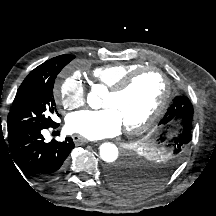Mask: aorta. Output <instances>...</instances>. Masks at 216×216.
Masks as SVG:
<instances>
[{
	"label": "aorta",
	"instance_id": "obj_1",
	"mask_svg": "<svg viewBox=\"0 0 216 216\" xmlns=\"http://www.w3.org/2000/svg\"><path fill=\"white\" fill-rule=\"evenodd\" d=\"M103 87L96 85L87 96V103L93 109H98L101 105ZM99 154L103 161L107 163L115 162L118 158V148L112 143H103L99 148Z\"/></svg>",
	"mask_w": 216,
	"mask_h": 216
}]
</instances>
